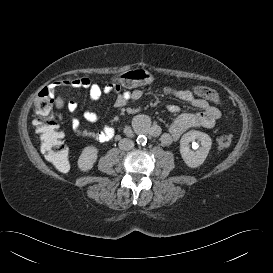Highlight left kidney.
<instances>
[{
  "instance_id": "left-kidney-1",
  "label": "left kidney",
  "mask_w": 273,
  "mask_h": 273,
  "mask_svg": "<svg viewBox=\"0 0 273 273\" xmlns=\"http://www.w3.org/2000/svg\"><path fill=\"white\" fill-rule=\"evenodd\" d=\"M200 141V146L194 141ZM193 142V149H190L189 143ZM196 144V145H195ZM212 140L206 133L191 130L185 133L180 140V153L182 159L188 167L195 168L204 163L211 149Z\"/></svg>"
}]
</instances>
